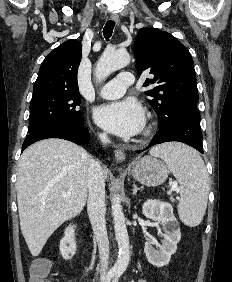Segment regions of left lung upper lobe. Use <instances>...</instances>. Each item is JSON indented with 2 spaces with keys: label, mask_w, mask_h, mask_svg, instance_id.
<instances>
[{
  "label": "left lung upper lobe",
  "mask_w": 232,
  "mask_h": 282,
  "mask_svg": "<svg viewBox=\"0 0 232 282\" xmlns=\"http://www.w3.org/2000/svg\"><path fill=\"white\" fill-rule=\"evenodd\" d=\"M133 52L137 72L154 75L144 86L152 85L146 95L158 117L165 116L178 103L197 106L198 90L193 59L189 50L176 38L159 29L143 28L135 40Z\"/></svg>",
  "instance_id": "left-lung-upper-lobe-1"
}]
</instances>
